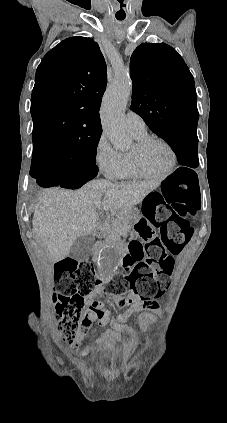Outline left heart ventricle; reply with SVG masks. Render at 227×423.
<instances>
[{
    "label": "left heart ventricle",
    "instance_id": "1",
    "mask_svg": "<svg viewBox=\"0 0 227 423\" xmlns=\"http://www.w3.org/2000/svg\"><path fill=\"white\" fill-rule=\"evenodd\" d=\"M141 162L148 172L160 174L167 169L170 155L162 144L152 142L142 151Z\"/></svg>",
    "mask_w": 227,
    "mask_h": 423
}]
</instances>
